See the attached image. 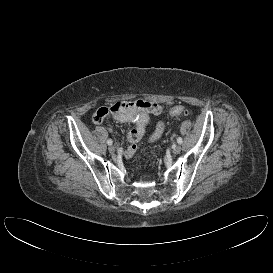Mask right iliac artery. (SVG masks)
<instances>
[{
    "instance_id": "obj_1",
    "label": "right iliac artery",
    "mask_w": 273,
    "mask_h": 273,
    "mask_svg": "<svg viewBox=\"0 0 273 273\" xmlns=\"http://www.w3.org/2000/svg\"><path fill=\"white\" fill-rule=\"evenodd\" d=\"M112 143H113V141H112L111 139H108V140H107V144H108V145H112Z\"/></svg>"
}]
</instances>
